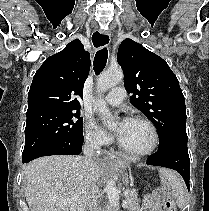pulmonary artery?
I'll use <instances>...</instances> for the list:
<instances>
[{"label":"pulmonary artery","instance_id":"obj_1","mask_svg":"<svg viewBox=\"0 0 209 211\" xmlns=\"http://www.w3.org/2000/svg\"><path fill=\"white\" fill-rule=\"evenodd\" d=\"M126 96L125 89L123 87L113 88L104 98V101L112 106L120 105Z\"/></svg>","mask_w":209,"mask_h":211}]
</instances>
